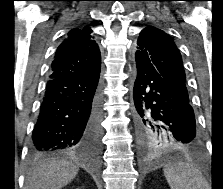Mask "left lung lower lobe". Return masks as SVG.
<instances>
[{"instance_id": "obj_1", "label": "left lung lower lobe", "mask_w": 223, "mask_h": 189, "mask_svg": "<svg viewBox=\"0 0 223 189\" xmlns=\"http://www.w3.org/2000/svg\"><path fill=\"white\" fill-rule=\"evenodd\" d=\"M133 98L139 132L157 127L181 148L193 149L200 144L190 103L182 99L156 70L140 62H137Z\"/></svg>"}]
</instances>
